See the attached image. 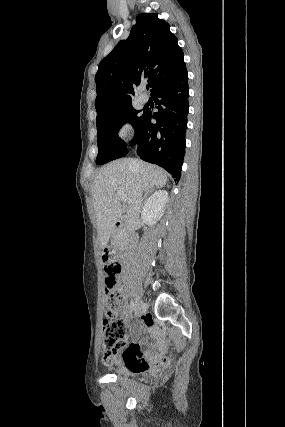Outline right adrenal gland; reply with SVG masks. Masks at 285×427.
I'll return each instance as SVG.
<instances>
[{
	"mask_svg": "<svg viewBox=\"0 0 285 427\" xmlns=\"http://www.w3.org/2000/svg\"><path fill=\"white\" fill-rule=\"evenodd\" d=\"M154 190H150V191H148L146 194H145V196H144V200L147 198V196H148V194L149 193H151V192H153Z\"/></svg>",
	"mask_w": 285,
	"mask_h": 427,
	"instance_id": "1",
	"label": "right adrenal gland"
}]
</instances>
